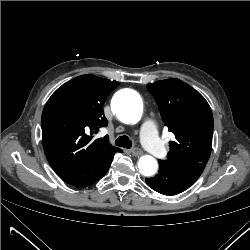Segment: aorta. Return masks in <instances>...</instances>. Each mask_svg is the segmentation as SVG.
Listing matches in <instances>:
<instances>
[{
  "instance_id": "1",
  "label": "aorta",
  "mask_w": 250,
  "mask_h": 250,
  "mask_svg": "<svg viewBox=\"0 0 250 250\" xmlns=\"http://www.w3.org/2000/svg\"><path fill=\"white\" fill-rule=\"evenodd\" d=\"M111 109L120 115L125 122H137L143 112L142 100L133 90H121L113 97ZM138 168L142 175L152 176L156 173L158 164L155 158L145 155L139 158Z\"/></svg>"
}]
</instances>
